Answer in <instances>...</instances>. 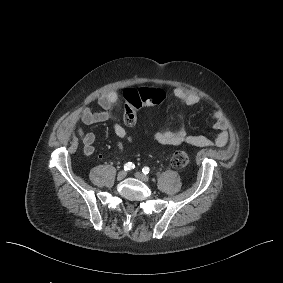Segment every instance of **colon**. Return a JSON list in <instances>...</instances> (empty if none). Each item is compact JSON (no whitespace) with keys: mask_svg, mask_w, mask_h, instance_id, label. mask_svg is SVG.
<instances>
[{"mask_svg":"<svg viewBox=\"0 0 283 283\" xmlns=\"http://www.w3.org/2000/svg\"><path fill=\"white\" fill-rule=\"evenodd\" d=\"M126 104L124 107L123 120L125 124L131 126L137 120V110L143 106H153L160 104L164 100V92L153 87L128 88L124 92ZM190 163L189 154L186 151H176L171 164L175 168H184Z\"/></svg>","mask_w":283,"mask_h":283,"instance_id":"colon-1","label":"colon"}]
</instances>
